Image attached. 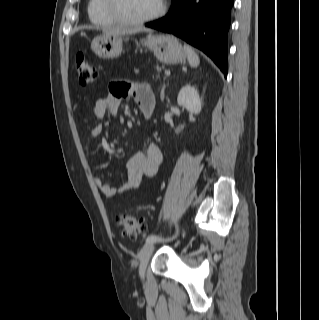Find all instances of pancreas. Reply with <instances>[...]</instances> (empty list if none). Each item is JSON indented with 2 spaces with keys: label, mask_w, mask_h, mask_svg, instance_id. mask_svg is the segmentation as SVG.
Listing matches in <instances>:
<instances>
[{
  "label": "pancreas",
  "mask_w": 319,
  "mask_h": 320,
  "mask_svg": "<svg viewBox=\"0 0 319 320\" xmlns=\"http://www.w3.org/2000/svg\"><path fill=\"white\" fill-rule=\"evenodd\" d=\"M154 68L156 69V71L158 73V77H160L161 67H159V65L156 64Z\"/></svg>",
  "instance_id": "obj_1"
}]
</instances>
